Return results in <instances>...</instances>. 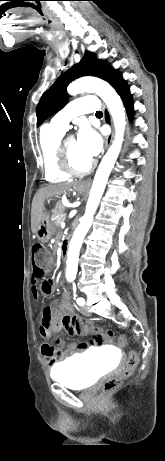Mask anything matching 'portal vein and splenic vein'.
Returning <instances> with one entry per match:
<instances>
[{
    "mask_svg": "<svg viewBox=\"0 0 165 461\" xmlns=\"http://www.w3.org/2000/svg\"><path fill=\"white\" fill-rule=\"evenodd\" d=\"M63 216L66 217V213H64Z\"/></svg>",
    "mask_w": 165,
    "mask_h": 461,
    "instance_id": "1",
    "label": "portal vein and splenic vein"
}]
</instances>
